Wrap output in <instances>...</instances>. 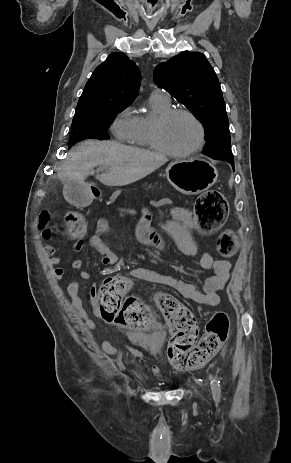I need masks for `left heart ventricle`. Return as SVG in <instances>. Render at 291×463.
Instances as JSON below:
<instances>
[{
  "label": "left heart ventricle",
  "instance_id": "b2bd125f",
  "mask_svg": "<svg viewBox=\"0 0 291 463\" xmlns=\"http://www.w3.org/2000/svg\"><path fill=\"white\" fill-rule=\"evenodd\" d=\"M162 139L171 149L182 152L195 146L199 140V129L189 117L179 115L162 128Z\"/></svg>",
  "mask_w": 291,
  "mask_h": 463
}]
</instances>
